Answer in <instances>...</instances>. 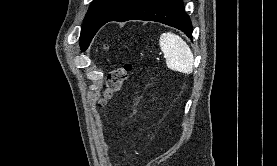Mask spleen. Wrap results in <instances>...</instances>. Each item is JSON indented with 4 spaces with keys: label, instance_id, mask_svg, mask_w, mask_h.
Segmentation results:
<instances>
[{
    "label": "spleen",
    "instance_id": "obj_1",
    "mask_svg": "<svg viewBox=\"0 0 277 166\" xmlns=\"http://www.w3.org/2000/svg\"><path fill=\"white\" fill-rule=\"evenodd\" d=\"M159 45L165 55L168 68L185 74L192 73L193 53L180 36L171 32L163 33L160 36Z\"/></svg>",
    "mask_w": 277,
    "mask_h": 166
}]
</instances>
